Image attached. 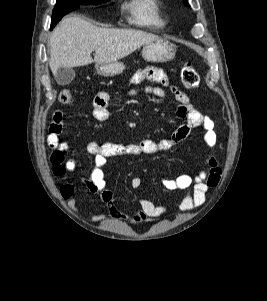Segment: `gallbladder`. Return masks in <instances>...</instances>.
<instances>
[{"label":"gallbladder","mask_w":267,"mask_h":301,"mask_svg":"<svg viewBox=\"0 0 267 301\" xmlns=\"http://www.w3.org/2000/svg\"><path fill=\"white\" fill-rule=\"evenodd\" d=\"M74 77L75 71L73 70V68L61 67L55 74V80L57 84L61 86H65L71 83Z\"/></svg>","instance_id":"bac80fb5"}]
</instances>
